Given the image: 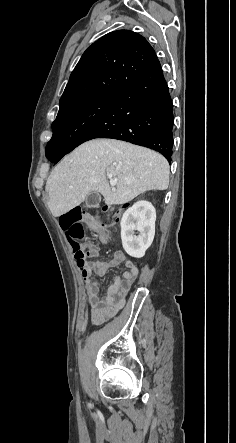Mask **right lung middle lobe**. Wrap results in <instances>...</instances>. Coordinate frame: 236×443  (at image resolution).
<instances>
[{
  "instance_id": "dd1d6c3e",
  "label": "right lung middle lobe",
  "mask_w": 236,
  "mask_h": 443,
  "mask_svg": "<svg viewBox=\"0 0 236 443\" xmlns=\"http://www.w3.org/2000/svg\"><path fill=\"white\" fill-rule=\"evenodd\" d=\"M113 94H97L60 111L52 123L53 135L46 148H67L79 128L92 119L110 100Z\"/></svg>"
}]
</instances>
